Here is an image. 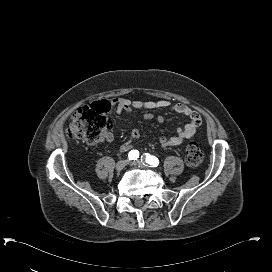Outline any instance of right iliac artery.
Segmentation results:
<instances>
[{"mask_svg": "<svg viewBox=\"0 0 272 272\" xmlns=\"http://www.w3.org/2000/svg\"><path fill=\"white\" fill-rule=\"evenodd\" d=\"M130 160H136L139 157V151L131 150L128 154Z\"/></svg>", "mask_w": 272, "mask_h": 272, "instance_id": "right-iliac-artery-1", "label": "right iliac artery"}]
</instances>
